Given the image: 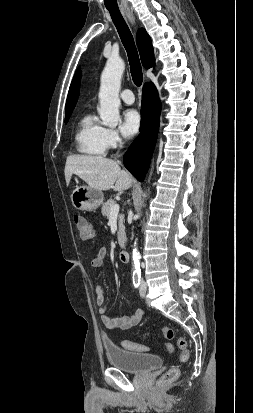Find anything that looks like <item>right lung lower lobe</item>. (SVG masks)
Wrapping results in <instances>:
<instances>
[{"mask_svg": "<svg viewBox=\"0 0 253 413\" xmlns=\"http://www.w3.org/2000/svg\"><path fill=\"white\" fill-rule=\"evenodd\" d=\"M161 103L153 83H145L142 90L140 134L123 157L125 167L143 181L148 171L156 144Z\"/></svg>", "mask_w": 253, "mask_h": 413, "instance_id": "98d812e1", "label": "right lung lower lobe"}]
</instances>
